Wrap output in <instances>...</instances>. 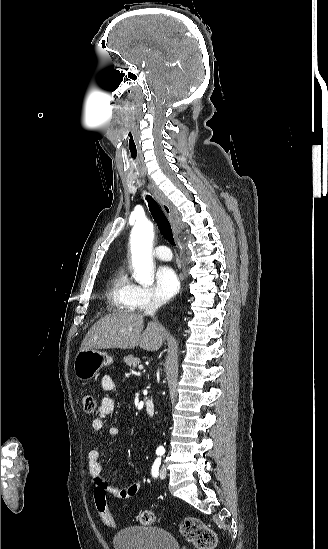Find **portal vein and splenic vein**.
I'll return each mask as SVG.
<instances>
[{
    "label": "portal vein and splenic vein",
    "instance_id": "portal-vein-and-splenic-vein-1",
    "mask_svg": "<svg viewBox=\"0 0 328 549\" xmlns=\"http://www.w3.org/2000/svg\"><path fill=\"white\" fill-rule=\"evenodd\" d=\"M139 369H143L142 365H139Z\"/></svg>",
    "mask_w": 328,
    "mask_h": 549
}]
</instances>
